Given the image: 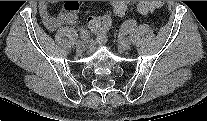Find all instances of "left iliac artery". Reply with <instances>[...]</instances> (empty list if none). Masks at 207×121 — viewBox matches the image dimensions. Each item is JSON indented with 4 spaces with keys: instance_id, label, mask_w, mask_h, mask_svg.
I'll return each instance as SVG.
<instances>
[{
    "instance_id": "obj_1",
    "label": "left iliac artery",
    "mask_w": 207,
    "mask_h": 121,
    "mask_svg": "<svg viewBox=\"0 0 207 121\" xmlns=\"http://www.w3.org/2000/svg\"><path fill=\"white\" fill-rule=\"evenodd\" d=\"M136 24V19L135 18H130L129 21H126L125 23H123L121 25V28L119 30V35L120 36H125L128 33H130V28L132 27V25Z\"/></svg>"
}]
</instances>
